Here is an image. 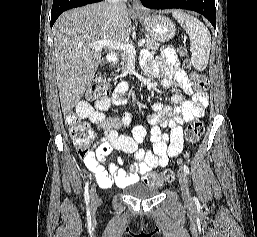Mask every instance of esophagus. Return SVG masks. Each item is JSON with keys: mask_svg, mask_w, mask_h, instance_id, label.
<instances>
[{"mask_svg": "<svg viewBox=\"0 0 257 237\" xmlns=\"http://www.w3.org/2000/svg\"><path fill=\"white\" fill-rule=\"evenodd\" d=\"M132 10L134 12H137V13L145 11V9H144L143 5L141 4L140 0H133Z\"/></svg>", "mask_w": 257, "mask_h": 237, "instance_id": "34e87169", "label": "esophagus"}]
</instances>
